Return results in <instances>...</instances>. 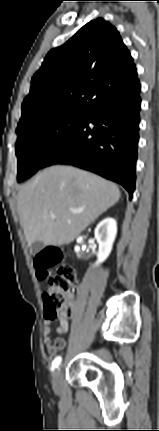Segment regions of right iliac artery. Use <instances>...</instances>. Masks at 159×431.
Returning <instances> with one entry per match:
<instances>
[{
  "mask_svg": "<svg viewBox=\"0 0 159 431\" xmlns=\"http://www.w3.org/2000/svg\"><path fill=\"white\" fill-rule=\"evenodd\" d=\"M61 357L58 356L56 357L53 362H52V370H54L55 368H57L59 366V364L61 363Z\"/></svg>",
  "mask_w": 159,
  "mask_h": 431,
  "instance_id": "right-iliac-artery-1",
  "label": "right iliac artery"
}]
</instances>
